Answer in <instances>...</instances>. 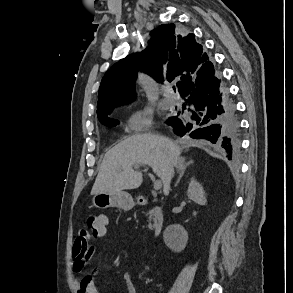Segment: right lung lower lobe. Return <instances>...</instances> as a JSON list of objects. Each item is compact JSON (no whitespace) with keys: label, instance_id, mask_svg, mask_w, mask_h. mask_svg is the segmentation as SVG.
<instances>
[{"label":"right lung lower lobe","instance_id":"98d812e1","mask_svg":"<svg viewBox=\"0 0 293 293\" xmlns=\"http://www.w3.org/2000/svg\"><path fill=\"white\" fill-rule=\"evenodd\" d=\"M214 66L204 63L195 78L180 92L186 97L190 120L171 118L168 124L180 137L204 139L220 146L230 159L240 146L239 122L235 108L220 79L214 76ZM180 114V113H179Z\"/></svg>","mask_w":293,"mask_h":293}]
</instances>
